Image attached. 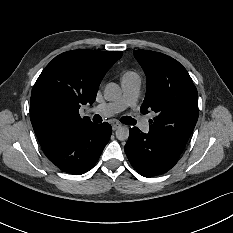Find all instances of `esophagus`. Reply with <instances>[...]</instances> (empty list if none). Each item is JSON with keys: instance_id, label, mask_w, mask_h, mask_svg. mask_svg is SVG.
I'll use <instances>...</instances> for the list:
<instances>
[{"instance_id": "esophagus-1", "label": "esophagus", "mask_w": 233, "mask_h": 233, "mask_svg": "<svg viewBox=\"0 0 233 233\" xmlns=\"http://www.w3.org/2000/svg\"><path fill=\"white\" fill-rule=\"evenodd\" d=\"M120 127H121V124H119V123H115V124L112 125L113 131L117 130Z\"/></svg>"}]
</instances>
